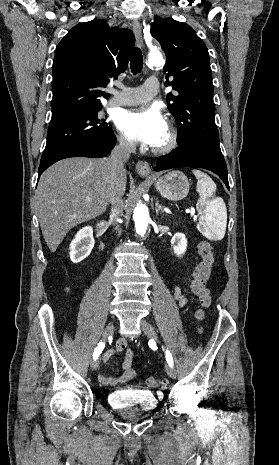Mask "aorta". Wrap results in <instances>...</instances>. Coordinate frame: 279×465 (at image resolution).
Returning <instances> with one entry per match:
<instances>
[{
    "label": "aorta",
    "instance_id": "obj_1",
    "mask_svg": "<svg viewBox=\"0 0 279 465\" xmlns=\"http://www.w3.org/2000/svg\"><path fill=\"white\" fill-rule=\"evenodd\" d=\"M150 65H156L163 63V58L160 53H153L149 57ZM133 219L135 222L136 232L140 236H144L146 233L148 223L150 221L148 207L143 204H137L134 209Z\"/></svg>",
    "mask_w": 279,
    "mask_h": 465
}]
</instances>
